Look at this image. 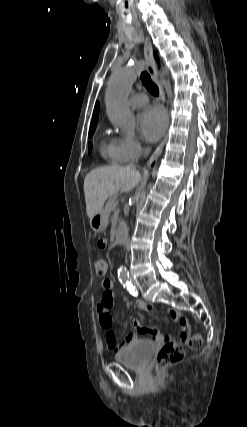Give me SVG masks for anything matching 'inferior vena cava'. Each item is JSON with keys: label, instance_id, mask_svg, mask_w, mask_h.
<instances>
[{"label": "inferior vena cava", "instance_id": "inferior-vena-cava-1", "mask_svg": "<svg viewBox=\"0 0 247 427\" xmlns=\"http://www.w3.org/2000/svg\"><path fill=\"white\" fill-rule=\"evenodd\" d=\"M150 151H151V149L149 147L145 148V150H144V156L145 157L148 156V154L150 153ZM125 246H126V249L129 251L130 246H129V240L128 239L126 240Z\"/></svg>", "mask_w": 247, "mask_h": 427}]
</instances>
